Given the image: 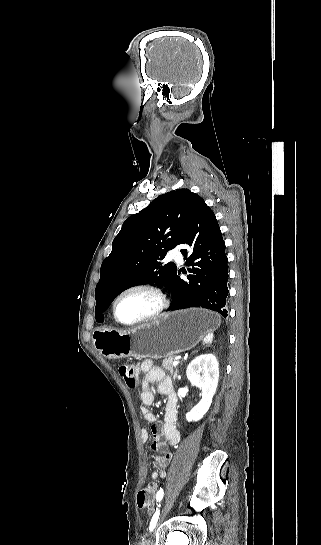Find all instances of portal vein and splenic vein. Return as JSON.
Listing matches in <instances>:
<instances>
[{"label":"portal vein and splenic vein","instance_id":"18ae733b","mask_svg":"<svg viewBox=\"0 0 321 545\" xmlns=\"http://www.w3.org/2000/svg\"><path fill=\"white\" fill-rule=\"evenodd\" d=\"M180 356H182V355H176V359H180Z\"/></svg>","mask_w":321,"mask_h":545}]
</instances>
